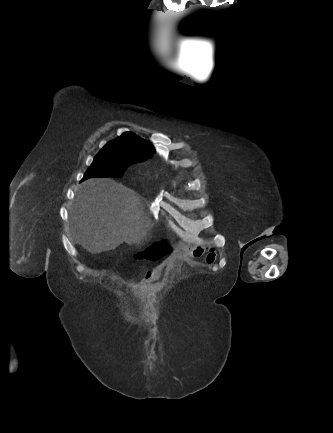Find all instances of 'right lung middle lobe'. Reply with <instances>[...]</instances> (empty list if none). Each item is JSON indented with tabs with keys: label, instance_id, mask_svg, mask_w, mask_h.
I'll use <instances>...</instances> for the list:
<instances>
[{
	"label": "right lung middle lobe",
	"instance_id": "dd1d6c3e",
	"mask_svg": "<svg viewBox=\"0 0 333 433\" xmlns=\"http://www.w3.org/2000/svg\"><path fill=\"white\" fill-rule=\"evenodd\" d=\"M138 159L129 155H116L100 151L84 174L83 180L90 177H121L126 168Z\"/></svg>",
	"mask_w": 333,
	"mask_h": 433
}]
</instances>
